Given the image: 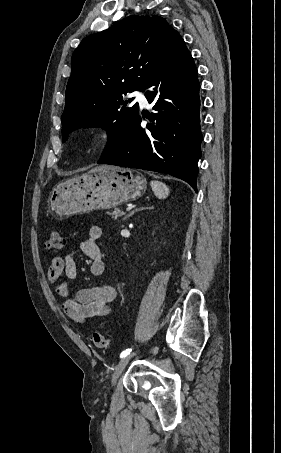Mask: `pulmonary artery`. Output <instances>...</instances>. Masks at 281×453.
Listing matches in <instances>:
<instances>
[{"instance_id": "e3ab8cb5", "label": "pulmonary artery", "mask_w": 281, "mask_h": 453, "mask_svg": "<svg viewBox=\"0 0 281 453\" xmlns=\"http://www.w3.org/2000/svg\"><path fill=\"white\" fill-rule=\"evenodd\" d=\"M131 95L136 99V101L140 102V104L144 106L147 105V100L144 91H134Z\"/></svg>"}]
</instances>
